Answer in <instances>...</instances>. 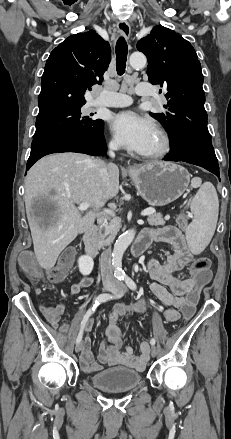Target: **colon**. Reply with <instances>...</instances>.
<instances>
[{"mask_svg":"<svg viewBox=\"0 0 231 439\" xmlns=\"http://www.w3.org/2000/svg\"><path fill=\"white\" fill-rule=\"evenodd\" d=\"M177 225L184 229L188 225V217L185 214H181L177 218ZM75 252L72 248H67L59 257L55 266L49 271V280L53 283H59L65 280L70 273L73 263H74ZM20 266L24 272L33 278H39L41 272L35 262L33 255L29 252H24L19 258ZM211 261L207 257L197 258L191 267L192 279L196 282L194 287H190L187 290L185 298L179 305L180 316L184 321H193L196 315V306L199 297L205 291L207 285L212 283V270H210ZM122 313V308L119 307L115 312H113L116 318ZM44 320H51L53 316L52 307H44L43 312Z\"/></svg>","mask_w":231,"mask_h":439,"instance_id":"colon-1","label":"colon"}]
</instances>
